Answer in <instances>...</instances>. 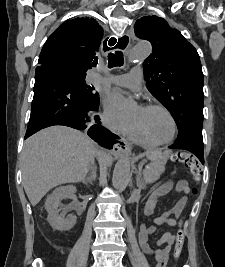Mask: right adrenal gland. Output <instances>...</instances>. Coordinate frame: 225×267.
<instances>
[{
  "mask_svg": "<svg viewBox=\"0 0 225 267\" xmlns=\"http://www.w3.org/2000/svg\"><path fill=\"white\" fill-rule=\"evenodd\" d=\"M96 172H97V168L95 165H93L92 167V172L89 176H87V178L84 180V184H92V182L96 179Z\"/></svg>",
  "mask_w": 225,
  "mask_h": 267,
  "instance_id": "right-adrenal-gland-1",
  "label": "right adrenal gland"
}]
</instances>
